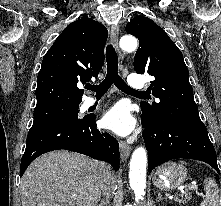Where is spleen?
Listing matches in <instances>:
<instances>
[{
	"instance_id": "3e777b00",
	"label": "spleen",
	"mask_w": 221,
	"mask_h": 206,
	"mask_svg": "<svg viewBox=\"0 0 221 206\" xmlns=\"http://www.w3.org/2000/svg\"><path fill=\"white\" fill-rule=\"evenodd\" d=\"M204 184L205 199L201 202L200 206H221V198L219 200V189L216 181L208 177L205 179Z\"/></svg>"
}]
</instances>
